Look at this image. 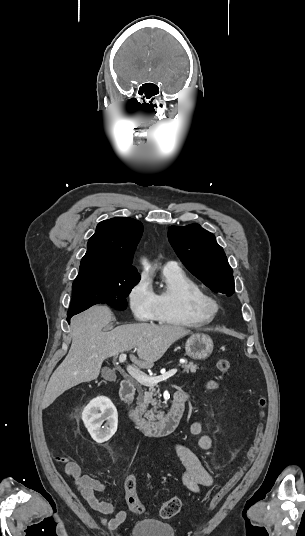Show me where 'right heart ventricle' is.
Here are the masks:
<instances>
[{"label":"right heart ventricle","instance_id":"1","mask_svg":"<svg viewBox=\"0 0 305 536\" xmlns=\"http://www.w3.org/2000/svg\"><path fill=\"white\" fill-rule=\"evenodd\" d=\"M163 286L154 292L157 313L155 320L164 325L199 327L209 322L192 308V300L204 294L201 286L181 268H163Z\"/></svg>","mask_w":305,"mask_h":536}]
</instances>
